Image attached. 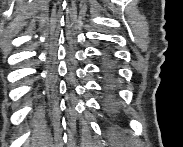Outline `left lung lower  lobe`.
Instances as JSON below:
<instances>
[{"instance_id":"left-lung-lower-lobe-1","label":"left lung lower lobe","mask_w":183,"mask_h":147,"mask_svg":"<svg viewBox=\"0 0 183 147\" xmlns=\"http://www.w3.org/2000/svg\"><path fill=\"white\" fill-rule=\"evenodd\" d=\"M104 74L108 80H110L112 78V70L107 66L104 68ZM107 94H109V93H107ZM106 111L108 114H110V115L112 114V108L110 105L106 106Z\"/></svg>"}]
</instances>
